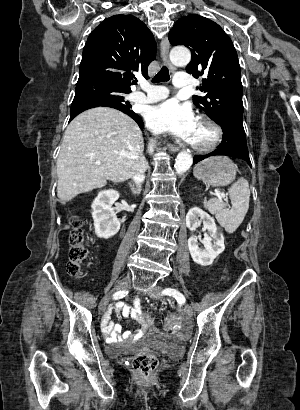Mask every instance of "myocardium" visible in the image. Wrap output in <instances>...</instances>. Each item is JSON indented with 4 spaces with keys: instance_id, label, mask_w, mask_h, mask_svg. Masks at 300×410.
I'll return each instance as SVG.
<instances>
[{
    "instance_id": "1",
    "label": "myocardium",
    "mask_w": 300,
    "mask_h": 410,
    "mask_svg": "<svg viewBox=\"0 0 300 410\" xmlns=\"http://www.w3.org/2000/svg\"><path fill=\"white\" fill-rule=\"evenodd\" d=\"M198 121L208 126L213 131V138L206 144H195L191 142V148L197 152H209L216 149L220 145L224 137L222 127L218 122L206 115H200L198 117Z\"/></svg>"
}]
</instances>
